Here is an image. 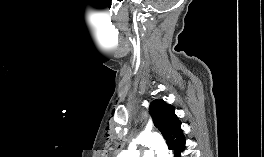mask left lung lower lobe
I'll use <instances>...</instances> for the list:
<instances>
[{"label": "left lung lower lobe", "mask_w": 264, "mask_h": 157, "mask_svg": "<svg viewBox=\"0 0 264 157\" xmlns=\"http://www.w3.org/2000/svg\"><path fill=\"white\" fill-rule=\"evenodd\" d=\"M175 157H181L180 152L185 150V139L182 140L177 146H175L173 149Z\"/></svg>", "instance_id": "left-lung-lower-lobe-1"}]
</instances>
